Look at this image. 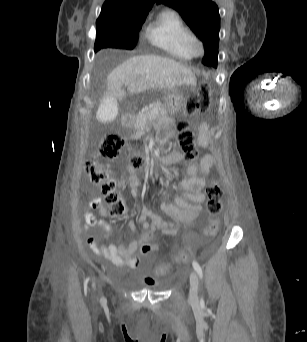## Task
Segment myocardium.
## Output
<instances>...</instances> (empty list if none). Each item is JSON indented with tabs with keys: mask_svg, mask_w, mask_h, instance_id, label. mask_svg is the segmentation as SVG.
Masks as SVG:
<instances>
[{
	"mask_svg": "<svg viewBox=\"0 0 307 342\" xmlns=\"http://www.w3.org/2000/svg\"><path fill=\"white\" fill-rule=\"evenodd\" d=\"M186 47L192 57H200L205 51V42L198 32L192 30L186 38Z\"/></svg>",
	"mask_w": 307,
	"mask_h": 342,
	"instance_id": "obj_1",
	"label": "myocardium"
}]
</instances>
